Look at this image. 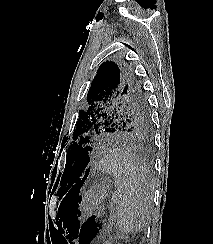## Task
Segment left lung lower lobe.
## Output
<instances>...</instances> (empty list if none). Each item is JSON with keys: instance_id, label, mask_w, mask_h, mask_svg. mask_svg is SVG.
Wrapping results in <instances>:
<instances>
[{"instance_id": "obj_1", "label": "left lung lower lobe", "mask_w": 213, "mask_h": 244, "mask_svg": "<svg viewBox=\"0 0 213 244\" xmlns=\"http://www.w3.org/2000/svg\"><path fill=\"white\" fill-rule=\"evenodd\" d=\"M87 162H88V160H86L84 166L88 165ZM88 172H89V168H88L87 170H84V172H83V174H82L80 180H79L78 183L76 184V186L81 187V186L83 185V182H84V180L86 179V177H87V175H88Z\"/></svg>"}]
</instances>
